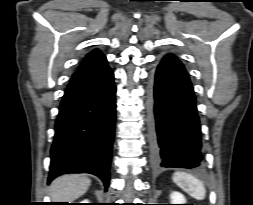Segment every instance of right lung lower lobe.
Wrapping results in <instances>:
<instances>
[{"label":"right lung lower lobe","mask_w":253,"mask_h":205,"mask_svg":"<svg viewBox=\"0 0 253 205\" xmlns=\"http://www.w3.org/2000/svg\"><path fill=\"white\" fill-rule=\"evenodd\" d=\"M113 79L106 59L72 75L55 123L49 182L65 173H90L108 188L116 110Z\"/></svg>","instance_id":"1"}]
</instances>
